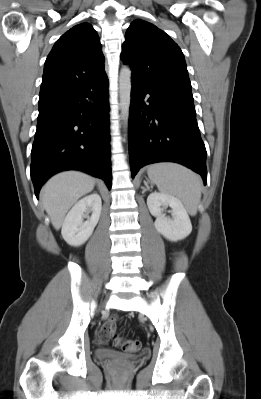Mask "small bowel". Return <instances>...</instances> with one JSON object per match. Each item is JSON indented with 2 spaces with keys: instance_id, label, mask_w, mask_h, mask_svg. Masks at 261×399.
I'll list each match as a JSON object with an SVG mask.
<instances>
[{
  "instance_id": "small-bowel-1",
  "label": "small bowel",
  "mask_w": 261,
  "mask_h": 399,
  "mask_svg": "<svg viewBox=\"0 0 261 399\" xmlns=\"http://www.w3.org/2000/svg\"><path fill=\"white\" fill-rule=\"evenodd\" d=\"M117 320V316H111L107 319L98 329V339L102 342H106L109 337L115 331V322Z\"/></svg>"
}]
</instances>
